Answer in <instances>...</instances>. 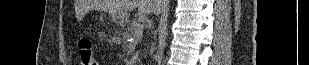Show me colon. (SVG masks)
Listing matches in <instances>:
<instances>
[{
  "instance_id": "colon-1",
  "label": "colon",
  "mask_w": 309,
  "mask_h": 65,
  "mask_svg": "<svg viewBox=\"0 0 309 65\" xmlns=\"http://www.w3.org/2000/svg\"><path fill=\"white\" fill-rule=\"evenodd\" d=\"M81 65H98L91 40L83 38L79 41Z\"/></svg>"
}]
</instances>
